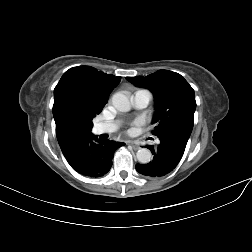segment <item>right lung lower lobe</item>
<instances>
[{"mask_svg":"<svg viewBox=\"0 0 252 252\" xmlns=\"http://www.w3.org/2000/svg\"><path fill=\"white\" fill-rule=\"evenodd\" d=\"M123 145L121 142L99 140L90 134L71 143L62 153L75 171L83 176L97 178L110 170L113 153Z\"/></svg>","mask_w":252,"mask_h":252,"instance_id":"98d812e1","label":"right lung lower lobe"}]
</instances>
